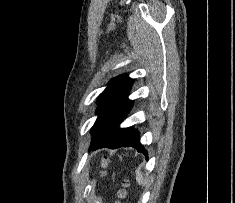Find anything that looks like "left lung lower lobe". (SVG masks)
<instances>
[{
    "mask_svg": "<svg viewBox=\"0 0 235 203\" xmlns=\"http://www.w3.org/2000/svg\"><path fill=\"white\" fill-rule=\"evenodd\" d=\"M131 106L132 101L128 100L106 130L90 145V151L104 147L110 149L134 147L138 152L144 153L146 159H148L147 151L140 143L137 130L130 127L119 128V124L126 117Z\"/></svg>",
    "mask_w": 235,
    "mask_h": 203,
    "instance_id": "obj_1",
    "label": "left lung lower lobe"
}]
</instances>
